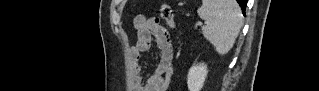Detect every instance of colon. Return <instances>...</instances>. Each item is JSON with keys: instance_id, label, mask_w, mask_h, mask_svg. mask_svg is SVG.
<instances>
[{"instance_id": "5ec220e1", "label": "colon", "mask_w": 319, "mask_h": 91, "mask_svg": "<svg viewBox=\"0 0 319 91\" xmlns=\"http://www.w3.org/2000/svg\"><path fill=\"white\" fill-rule=\"evenodd\" d=\"M160 12H161V17L166 22L168 28L172 29L174 27V11H173V8L170 5L164 3L161 6Z\"/></svg>"}]
</instances>
